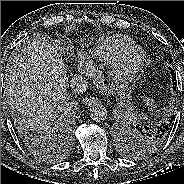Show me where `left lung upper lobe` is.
Masks as SVG:
<instances>
[{
  "label": "left lung upper lobe",
  "mask_w": 184,
  "mask_h": 184,
  "mask_svg": "<svg viewBox=\"0 0 184 184\" xmlns=\"http://www.w3.org/2000/svg\"><path fill=\"white\" fill-rule=\"evenodd\" d=\"M146 127H143V124H138L136 128H133V139L136 143V150L142 152L152 150V148L161 145L165 140V138L158 136L155 132L146 129Z\"/></svg>",
  "instance_id": "left-lung-upper-lobe-1"
}]
</instances>
